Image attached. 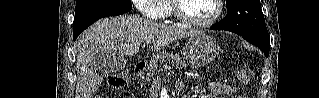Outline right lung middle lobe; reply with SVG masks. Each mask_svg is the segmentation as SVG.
<instances>
[{"instance_id":"dd1d6c3e","label":"right lung middle lobe","mask_w":319,"mask_h":98,"mask_svg":"<svg viewBox=\"0 0 319 98\" xmlns=\"http://www.w3.org/2000/svg\"><path fill=\"white\" fill-rule=\"evenodd\" d=\"M105 9L131 10L130 0H77L75 16Z\"/></svg>"}]
</instances>
